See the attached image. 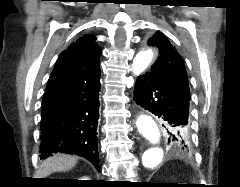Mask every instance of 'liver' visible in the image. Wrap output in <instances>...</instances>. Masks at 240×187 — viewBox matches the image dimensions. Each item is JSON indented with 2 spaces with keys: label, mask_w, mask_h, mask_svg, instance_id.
Wrapping results in <instances>:
<instances>
[{
  "label": "liver",
  "mask_w": 240,
  "mask_h": 187,
  "mask_svg": "<svg viewBox=\"0 0 240 187\" xmlns=\"http://www.w3.org/2000/svg\"><path fill=\"white\" fill-rule=\"evenodd\" d=\"M77 163V157L68 154H54L43 160L37 171L39 178H44L53 172L68 171Z\"/></svg>",
  "instance_id": "liver-1"
}]
</instances>
